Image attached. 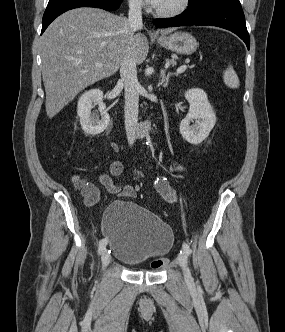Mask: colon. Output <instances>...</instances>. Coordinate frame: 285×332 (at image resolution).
Returning a JSON list of instances; mask_svg holds the SVG:
<instances>
[{
  "label": "colon",
  "mask_w": 285,
  "mask_h": 332,
  "mask_svg": "<svg viewBox=\"0 0 285 332\" xmlns=\"http://www.w3.org/2000/svg\"><path fill=\"white\" fill-rule=\"evenodd\" d=\"M167 263H168V260H167V259H165V258H161V259H157V260L153 261L152 266H153L154 268H158V267H162V266H164V265L167 264Z\"/></svg>",
  "instance_id": "5ec220e1"
}]
</instances>
